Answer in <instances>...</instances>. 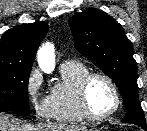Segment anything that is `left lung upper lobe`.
I'll use <instances>...</instances> for the list:
<instances>
[{
	"label": "left lung upper lobe",
	"instance_id": "1",
	"mask_svg": "<svg viewBox=\"0 0 147 131\" xmlns=\"http://www.w3.org/2000/svg\"><path fill=\"white\" fill-rule=\"evenodd\" d=\"M69 25L75 48L118 86L126 107L122 122L146 125L138 98L137 63L122 26L94 8L71 17Z\"/></svg>",
	"mask_w": 147,
	"mask_h": 131
}]
</instances>
